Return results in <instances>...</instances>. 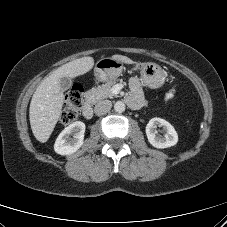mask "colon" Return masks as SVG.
<instances>
[{
  "mask_svg": "<svg viewBox=\"0 0 227 227\" xmlns=\"http://www.w3.org/2000/svg\"><path fill=\"white\" fill-rule=\"evenodd\" d=\"M83 88L80 85H74L66 94L64 109L61 114L60 122L62 125H68L74 122L82 108Z\"/></svg>",
  "mask_w": 227,
  "mask_h": 227,
  "instance_id": "5ec220e1",
  "label": "colon"
}]
</instances>
